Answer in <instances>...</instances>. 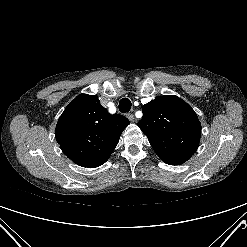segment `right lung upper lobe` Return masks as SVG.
I'll list each match as a JSON object with an SVG mask.
<instances>
[{"label":"right lung upper lobe","instance_id":"right-lung-upper-lobe-1","mask_svg":"<svg viewBox=\"0 0 247 247\" xmlns=\"http://www.w3.org/2000/svg\"><path fill=\"white\" fill-rule=\"evenodd\" d=\"M128 124L124 116L110 115L95 95L80 94L60 116L55 137L74 163L96 168L109 159Z\"/></svg>","mask_w":247,"mask_h":247}]
</instances>
